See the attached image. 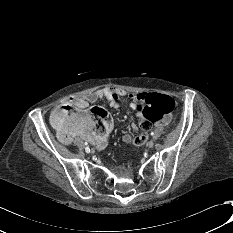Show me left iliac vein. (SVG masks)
Listing matches in <instances>:
<instances>
[{"label":"left iliac vein","mask_w":233,"mask_h":233,"mask_svg":"<svg viewBox=\"0 0 233 233\" xmlns=\"http://www.w3.org/2000/svg\"><path fill=\"white\" fill-rule=\"evenodd\" d=\"M147 146H148V148H153L154 142H153V141H149V142L147 143Z\"/></svg>","instance_id":"obj_1"}]
</instances>
